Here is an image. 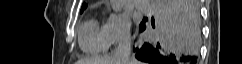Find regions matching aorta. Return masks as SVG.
Returning <instances> with one entry per match:
<instances>
[{
	"label": "aorta",
	"instance_id": "1",
	"mask_svg": "<svg viewBox=\"0 0 242 64\" xmlns=\"http://www.w3.org/2000/svg\"><path fill=\"white\" fill-rule=\"evenodd\" d=\"M126 0H110L111 7L114 11L119 12L125 5Z\"/></svg>",
	"mask_w": 242,
	"mask_h": 64
}]
</instances>
